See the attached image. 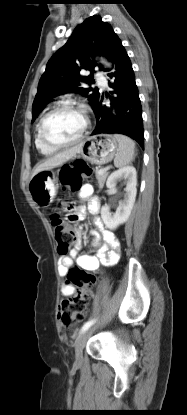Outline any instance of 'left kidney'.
Wrapping results in <instances>:
<instances>
[{"instance_id": "obj_1", "label": "left kidney", "mask_w": 187, "mask_h": 415, "mask_svg": "<svg viewBox=\"0 0 187 415\" xmlns=\"http://www.w3.org/2000/svg\"><path fill=\"white\" fill-rule=\"evenodd\" d=\"M124 180L126 183L124 199L119 201V206L114 214L110 212V207L105 205L101 208V218L105 226L114 230L119 225L125 223L133 208L136 198L137 172L133 166H126L114 171L107 179L106 186L110 191L116 189L118 181Z\"/></svg>"}]
</instances>
